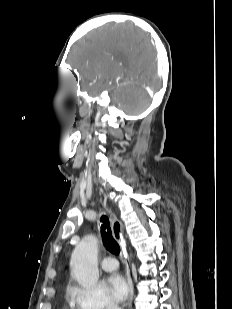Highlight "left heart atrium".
<instances>
[{"label": "left heart atrium", "mask_w": 232, "mask_h": 309, "mask_svg": "<svg viewBox=\"0 0 232 309\" xmlns=\"http://www.w3.org/2000/svg\"><path fill=\"white\" fill-rule=\"evenodd\" d=\"M108 289L115 300L124 302L129 298L130 289L126 278L119 274L113 273L107 280Z\"/></svg>", "instance_id": "39dd6f15"}]
</instances>
